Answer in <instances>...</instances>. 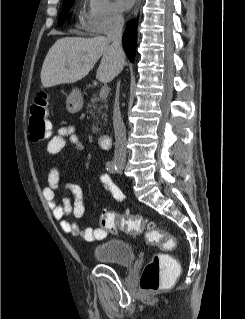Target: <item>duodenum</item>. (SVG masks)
Listing matches in <instances>:
<instances>
[{"mask_svg":"<svg viewBox=\"0 0 245 319\" xmlns=\"http://www.w3.org/2000/svg\"><path fill=\"white\" fill-rule=\"evenodd\" d=\"M99 145L102 149H109L111 147V136L110 134H102L99 137Z\"/></svg>","mask_w":245,"mask_h":319,"instance_id":"1","label":"duodenum"}]
</instances>
